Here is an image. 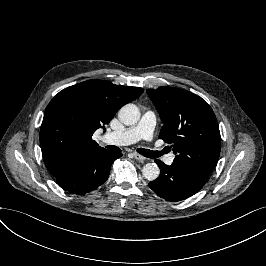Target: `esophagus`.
I'll use <instances>...</instances> for the list:
<instances>
[{"mask_svg":"<svg viewBox=\"0 0 266 266\" xmlns=\"http://www.w3.org/2000/svg\"><path fill=\"white\" fill-rule=\"evenodd\" d=\"M133 155H134L135 159L139 160V161H142V160L146 159L145 157H143L142 155H140V154H138L136 152H134Z\"/></svg>","mask_w":266,"mask_h":266,"instance_id":"obj_1","label":"esophagus"}]
</instances>
